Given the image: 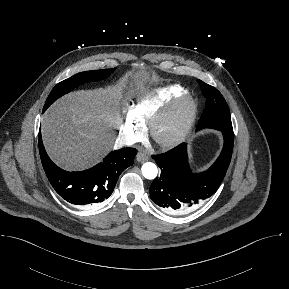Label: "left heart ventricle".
<instances>
[{
	"label": "left heart ventricle",
	"mask_w": 289,
	"mask_h": 289,
	"mask_svg": "<svg viewBox=\"0 0 289 289\" xmlns=\"http://www.w3.org/2000/svg\"><path fill=\"white\" fill-rule=\"evenodd\" d=\"M182 119V112L177 111L166 119L159 127V134L162 137L171 135L179 126Z\"/></svg>",
	"instance_id": "1"
}]
</instances>
